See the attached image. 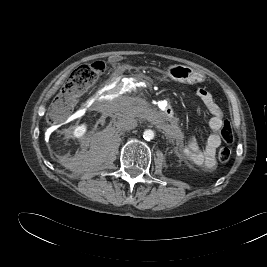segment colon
<instances>
[{
	"label": "colon",
	"instance_id": "colon-1",
	"mask_svg": "<svg viewBox=\"0 0 267 267\" xmlns=\"http://www.w3.org/2000/svg\"><path fill=\"white\" fill-rule=\"evenodd\" d=\"M104 69L103 62L83 64L77 67L53 101L47 114L48 122L57 124L67 118L74 110L78 97L98 79ZM220 134L224 142L232 143L234 141V132L229 121L223 123ZM218 158L220 162L227 163L231 158V150L228 147L221 148Z\"/></svg>",
	"mask_w": 267,
	"mask_h": 267
}]
</instances>
